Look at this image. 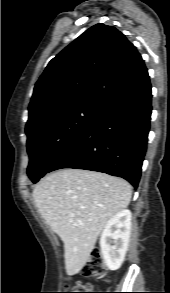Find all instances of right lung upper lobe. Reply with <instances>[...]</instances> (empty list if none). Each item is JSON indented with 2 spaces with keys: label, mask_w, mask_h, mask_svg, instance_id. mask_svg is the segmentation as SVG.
<instances>
[{
  "label": "right lung upper lobe",
  "mask_w": 170,
  "mask_h": 293,
  "mask_svg": "<svg viewBox=\"0 0 170 293\" xmlns=\"http://www.w3.org/2000/svg\"><path fill=\"white\" fill-rule=\"evenodd\" d=\"M147 75L125 35L96 24L49 62L35 85L26 129L76 105H101Z\"/></svg>",
  "instance_id": "cb5924a9"
}]
</instances>
